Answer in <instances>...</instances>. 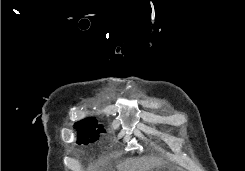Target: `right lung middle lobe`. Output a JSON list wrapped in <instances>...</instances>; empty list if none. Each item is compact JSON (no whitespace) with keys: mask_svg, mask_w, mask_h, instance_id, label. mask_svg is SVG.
<instances>
[{"mask_svg":"<svg viewBox=\"0 0 245 171\" xmlns=\"http://www.w3.org/2000/svg\"><path fill=\"white\" fill-rule=\"evenodd\" d=\"M77 129V143L88 144L95 142L99 138V133L105 130L102 126H97L94 118H88L75 123Z\"/></svg>","mask_w":245,"mask_h":171,"instance_id":"1","label":"right lung middle lobe"}]
</instances>
